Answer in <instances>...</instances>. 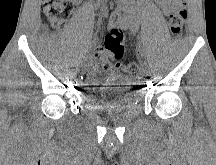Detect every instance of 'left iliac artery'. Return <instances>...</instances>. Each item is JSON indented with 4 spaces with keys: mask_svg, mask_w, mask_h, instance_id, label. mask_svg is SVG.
<instances>
[{
    "mask_svg": "<svg viewBox=\"0 0 216 165\" xmlns=\"http://www.w3.org/2000/svg\"><path fill=\"white\" fill-rule=\"evenodd\" d=\"M138 53L139 55L144 56V53H143V50L140 44H138Z\"/></svg>",
    "mask_w": 216,
    "mask_h": 165,
    "instance_id": "1",
    "label": "left iliac artery"
}]
</instances>
